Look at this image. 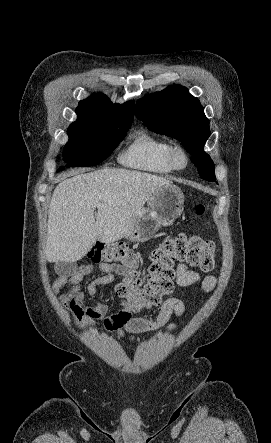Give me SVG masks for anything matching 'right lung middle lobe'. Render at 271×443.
<instances>
[{
  "label": "right lung middle lobe",
  "mask_w": 271,
  "mask_h": 443,
  "mask_svg": "<svg viewBox=\"0 0 271 443\" xmlns=\"http://www.w3.org/2000/svg\"><path fill=\"white\" fill-rule=\"evenodd\" d=\"M132 120L89 118L73 122L68 128L69 141L64 147L67 167H89L101 163L122 141Z\"/></svg>",
  "instance_id": "right-lung-middle-lobe-1"
}]
</instances>
